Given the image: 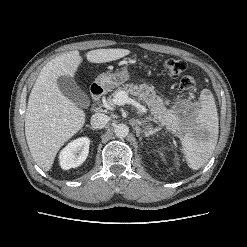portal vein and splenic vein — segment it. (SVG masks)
<instances>
[{
	"label": "portal vein and splenic vein",
	"instance_id": "1",
	"mask_svg": "<svg viewBox=\"0 0 247 247\" xmlns=\"http://www.w3.org/2000/svg\"><path fill=\"white\" fill-rule=\"evenodd\" d=\"M113 103L116 105H125V104H133L135 107H137L141 112H146L147 109L132 100L131 98L128 97V94L125 91L118 92L112 99Z\"/></svg>",
	"mask_w": 247,
	"mask_h": 247
}]
</instances>
